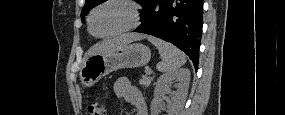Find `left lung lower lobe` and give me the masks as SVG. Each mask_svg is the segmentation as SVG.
Listing matches in <instances>:
<instances>
[{"label": "left lung lower lobe", "mask_w": 285, "mask_h": 115, "mask_svg": "<svg viewBox=\"0 0 285 115\" xmlns=\"http://www.w3.org/2000/svg\"><path fill=\"white\" fill-rule=\"evenodd\" d=\"M141 25L134 30L174 44L198 67L203 26L201 0H144Z\"/></svg>", "instance_id": "0a47b994"}]
</instances>
